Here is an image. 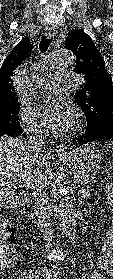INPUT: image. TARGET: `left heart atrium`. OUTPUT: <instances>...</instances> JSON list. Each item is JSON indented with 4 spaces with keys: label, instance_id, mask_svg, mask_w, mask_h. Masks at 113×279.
I'll use <instances>...</instances> for the list:
<instances>
[{
    "label": "left heart atrium",
    "instance_id": "1",
    "mask_svg": "<svg viewBox=\"0 0 113 279\" xmlns=\"http://www.w3.org/2000/svg\"><path fill=\"white\" fill-rule=\"evenodd\" d=\"M43 124L53 132L69 129L74 123V110L70 103L57 97L47 101L40 109Z\"/></svg>",
    "mask_w": 113,
    "mask_h": 279
}]
</instances>
